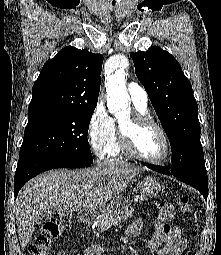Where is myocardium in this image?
Returning a JSON list of instances; mask_svg holds the SVG:
<instances>
[{"mask_svg":"<svg viewBox=\"0 0 221 255\" xmlns=\"http://www.w3.org/2000/svg\"><path fill=\"white\" fill-rule=\"evenodd\" d=\"M146 126H152L156 128L163 138L165 152L160 158L157 159L147 158L139 152L136 146L135 139L136 132L138 129ZM118 136L123 149L130 156L138 160H141L145 163L155 165L162 164L166 162L170 156L171 144L165 129L147 114H140L138 112H134L132 115H130L125 122H121L118 125Z\"/></svg>","mask_w":221,"mask_h":255,"instance_id":"obj_1","label":"myocardium"}]
</instances>
